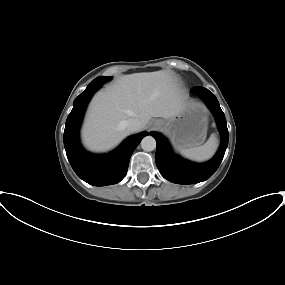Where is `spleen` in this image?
<instances>
[{
	"label": "spleen",
	"mask_w": 285,
	"mask_h": 285,
	"mask_svg": "<svg viewBox=\"0 0 285 285\" xmlns=\"http://www.w3.org/2000/svg\"><path fill=\"white\" fill-rule=\"evenodd\" d=\"M217 147V139L214 135H211L205 144L182 149L181 154L187 159L203 162L210 159L215 154Z\"/></svg>",
	"instance_id": "spleen-1"
}]
</instances>
